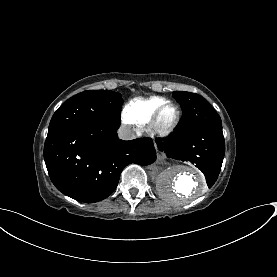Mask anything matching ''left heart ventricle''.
<instances>
[{
	"label": "left heart ventricle",
	"mask_w": 277,
	"mask_h": 277,
	"mask_svg": "<svg viewBox=\"0 0 277 277\" xmlns=\"http://www.w3.org/2000/svg\"><path fill=\"white\" fill-rule=\"evenodd\" d=\"M176 110L174 107L166 108L160 118V125L162 127H168L175 119Z\"/></svg>",
	"instance_id": "left-heart-ventricle-1"
}]
</instances>
